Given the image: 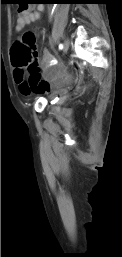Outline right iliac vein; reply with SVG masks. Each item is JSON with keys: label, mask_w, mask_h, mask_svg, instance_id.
Here are the masks:
<instances>
[{"label": "right iliac vein", "mask_w": 122, "mask_h": 257, "mask_svg": "<svg viewBox=\"0 0 122 257\" xmlns=\"http://www.w3.org/2000/svg\"><path fill=\"white\" fill-rule=\"evenodd\" d=\"M69 45H70V42L68 39L65 40L64 42V47H63V52L66 53L69 49Z\"/></svg>", "instance_id": "obj_1"}]
</instances>
